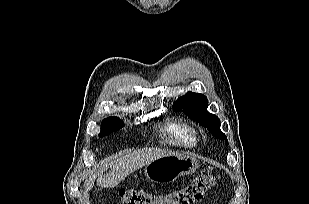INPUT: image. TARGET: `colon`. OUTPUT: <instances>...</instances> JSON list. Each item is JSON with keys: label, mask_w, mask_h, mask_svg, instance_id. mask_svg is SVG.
<instances>
[{"label": "colon", "mask_w": 309, "mask_h": 204, "mask_svg": "<svg viewBox=\"0 0 309 204\" xmlns=\"http://www.w3.org/2000/svg\"><path fill=\"white\" fill-rule=\"evenodd\" d=\"M216 182L210 169L181 188L172 192L159 194L138 189H120L118 197L122 204H192L198 201Z\"/></svg>", "instance_id": "5ec220e1"}]
</instances>
